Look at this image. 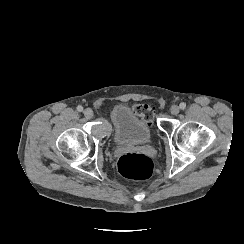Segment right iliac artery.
<instances>
[{
	"mask_svg": "<svg viewBox=\"0 0 244 244\" xmlns=\"http://www.w3.org/2000/svg\"><path fill=\"white\" fill-rule=\"evenodd\" d=\"M77 111L82 112V111H83V107H82L81 105H79V106L77 107Z\"/></svg>",
	"mask_w": 244,
	"mask_h": 244,
	"instance_id": "obj_1",
	"label": "right iliac artery"
}]
</instances>
